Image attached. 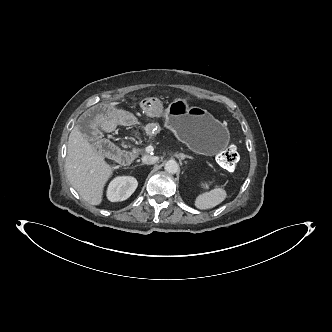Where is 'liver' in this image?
<instances>
[{"mask_svg":"<svg viewBox=\"0 0 332 332\" xmlns=\"http://www.w3.org/2000/svg\"><path fill=\"white\" fill-rule=\"evenodd\" d=\"M65 170L70 184L87 203L102 202L104 186L113 168L77 127L69 135Z\"/></svg>","mask_w":332,"mask_h":332,"instance_id":"obj_1","label":"liver"}]
</instances>
